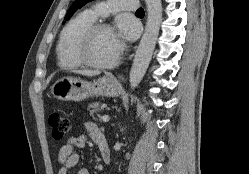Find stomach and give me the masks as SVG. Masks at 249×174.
I'll return each instance as SVG.
<instances>
[{
  "instance_id": "stomach-1",
  "label": "stomach",
  "mask_w": 249,
  "mask_h": 174,
  "mask_svg": "<svg viewBox=\"0 0 249 174\" xmlns=\"http://www.w3.org/2000/svg\"><path fill=\"white\" fill-rule=\"evenodd\" d=\"M121 89V84L112 75L90 82L79 78L64 77L52 85L51 93L59 100L82 101L93 96L115 97Z\"/></svg>"
}]
</instances>
